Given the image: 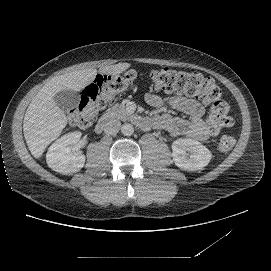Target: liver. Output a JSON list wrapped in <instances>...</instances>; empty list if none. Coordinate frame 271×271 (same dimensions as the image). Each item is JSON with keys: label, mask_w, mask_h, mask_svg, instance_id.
Masks as SVG:
<instances>
[{"label": "liver", "mask_w": 271, "mask_h": 271, "mask_svg": "<svg viewBox=\"0 0 271 271\" xmlns=\"http://www.w3.org/2000/svg\"><path fill=\"white\" fill-rule=\"evenodd\" d=\"M128 66L127 63L103 66L100 72L117 74ZM96 74V69L85 68L55 76L33 97L23 120L24 138L33 157L39 158L66 126V117L54 102V95L63 90L80 91L94 80Z\"/></svg>", "instance_id": "liver-1"}]
</instances>
